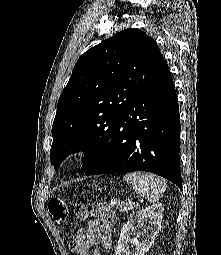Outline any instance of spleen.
I'll return each mask as SVG.
<instances>
[{"mask_svg":"<svg viewBox=\"0 0 221 255\" xmlns=\"http://www.w3.org/2000/svg\"><path fill=\"white\" fill-rule=\"evenodd\" d=\"M123 179L138 193L145 195L149 202H157L166 190L167 182L160 176L144 172L125 174Z\"/></svg>","mask_w":221,"mask_h":255,"instance_id":"spleen-1","label":"spleen"}]
</instances>
